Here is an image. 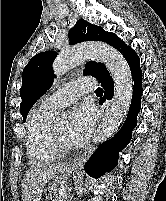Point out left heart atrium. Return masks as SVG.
<instances>
[{"mask_svg":"<svg viewBox=\"0 0 166 201\" xmlns=\"http://www.w3.org/2000/svg\"><path fill=\"white\" fill-rule=\"evenodd\" d=\"M95 123V114L89 105L75 109L68 124V136L73 145H81L89 136Z\"/></svg>","mask_w":166,"mask_h":201,"instance_id":"39dd6f15","label":"left heart atrium"}]
</instances>
